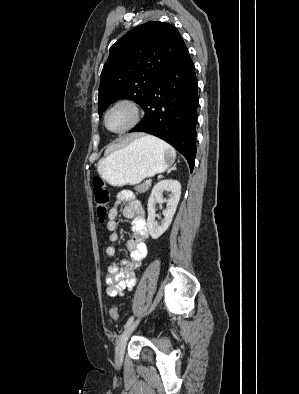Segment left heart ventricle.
<instances>
[{
	"label": "left heart ventricle",
	"mask_w": 299,
	"mask_h": 394,
	"mask_svg": "<svg viewBox=\"0 0 299 394\" xmlns=\"http://www.w3.org/2000/svg\"><path fill=\"white\" fill-rule=\"evenodd\" d=\"M131 119V113L126 107L114 109L107 118V125L112 130H119L125 127Z\"/></svg>",
	"instance_id": "left-heart-ventricle-1"
}]
</instances>
